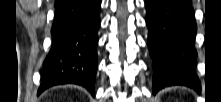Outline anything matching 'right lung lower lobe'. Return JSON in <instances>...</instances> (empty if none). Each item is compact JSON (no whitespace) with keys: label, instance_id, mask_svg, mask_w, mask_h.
Instances as JSON below:
<instances>
[{"label":"right lung lower lobe","instance_id":"98d812e1","mask_svg":"<svg viewBox=\"0 0 221 102\" xmlns=\"http://www.w3.org/2000/svg\"><path fill=\"white\" fill-rule=\"evenodd\" d=\"M55 7L38 94L55 85L77 84L94 96L101 0H56Z\"/></svg>","mask_w":221,"mask_h":102}]
</instances>
